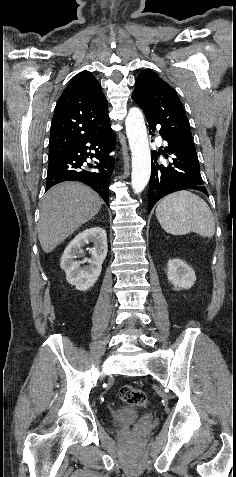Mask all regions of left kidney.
<instances>
[{"label":"left kidney","mask_w":236,"mask_h":477,"mask_svg":"<svg viewBox=\"0 0 236 477\" xmlns=\"http://www.w3.org/2000/svg\"><path fill=\"white\" fill-rule=\"evenodd\" d=\"M167 276L175 289H189L196 281L193 269L180 259L168 261Z\"/></svg>","instance_id":"5707ae66"}]
</instances>
